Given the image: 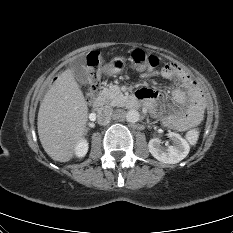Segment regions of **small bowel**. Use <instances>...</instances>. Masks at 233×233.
Returning <instances> with one entry per match:
<instances>
[{"label": "small bowel", "instance_id": "small-bowel-1", "mask_svg": "<svg viewBox=\"0 0 233 233\" xmlns=\"http://www.w3.org/2000/svg\"><path fill=\"white\" fill-rule=\"evenodd\" d=\"M159 75L178 80L170 99L163 93L147 88L140 89L137 96L151 112L160 114L163 124L171 129L185 131L198 124L204 114L205 102L199 86L190 74L178 64L170 62L163 66ZM157 102L164 104L167 112L159 113Z\"/></svg>", "mask_w": 233, "mask_h": 233}]
</instances>
